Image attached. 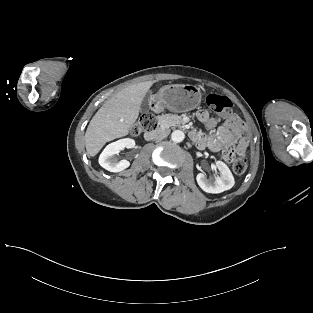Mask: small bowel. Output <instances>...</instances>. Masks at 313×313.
I'll return each mask as SVG.
<instances>
[{
    "mask_svg": "<svg viewBox=\"0 0 313 313\" xmlns=\"http://www.w3.org/2000/svg\"><path fill=\"white\" fill-rule=\"evenodd\" d=\"M197 118L208 129L215 130L214 135L193 131L191 137L200 149L208 148L213 152L231 149L235 155L244 156L249 144L247 128L243 120L235 114H227L221 122L210 116L207 110H199Z\"/></svg>",
    "mask_w": 313,
    "mask_h": 313,
    "instance_id": "1",
    "label": "small bowel"
}]
</instances>
